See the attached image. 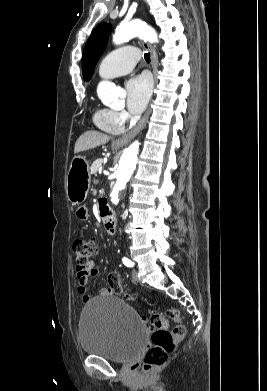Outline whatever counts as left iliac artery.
I'll return each mask as SVG.
<instances>
[{"label": "left iliac artery", "mask_w": 267, "mask_h": 391, "mask_svg": "<svg viewBox=\"0 0 267 391\" xmlns=\"http://www.w3.org/2000/svg\"><path fill=\"white\" fill-rule=\"evenodd\" d=\"M123 263L127 266V267H133V262H131V260H129L128 258L124 257L123 258Z\"/></svg>", "instance_id": "obj_1"}]
</instances>
